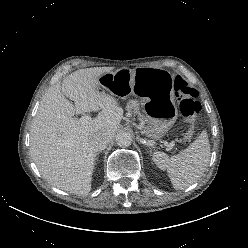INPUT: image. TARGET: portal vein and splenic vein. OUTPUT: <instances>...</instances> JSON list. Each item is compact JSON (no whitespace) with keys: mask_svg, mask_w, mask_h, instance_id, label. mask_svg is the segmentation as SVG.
Wrapping results in <instances>:
<instances>
[{"mask_svg":"<svg viewBox=\"0 0 248 248\" xmlns=\"http://www.w3.org/2000/svg\"><path fill=\"white\" fill-rule=\"evenodd\" d=\"M90 119H91V118H90L89 116H86V115L80 118V120H81L82 122H84V123H87Z\"/></svg>","mask_w":248,"mask_h":248,"instance_id":"portal-vein-and-splenic-vein-1","label":"portal vein and splenic vein"}]
</instances>
